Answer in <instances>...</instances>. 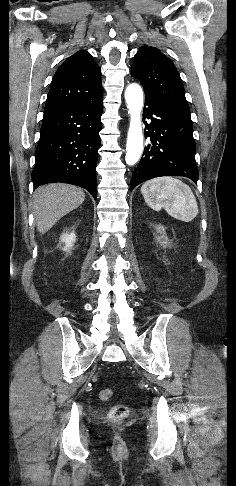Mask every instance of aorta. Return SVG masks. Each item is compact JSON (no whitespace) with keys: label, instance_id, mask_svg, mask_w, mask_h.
<instances>
[{"label":"aorta","instance_id":"aorta-1","mask_svg":"<svg viewBox=\"0 0 236 486\" xmlns=\"http://www.w3.org/2000/svg\"><path fill=\"white\" fill-rule=\"evenodd\" d=\"M125 100L128 107V114L130 115L125 161L126 164L132 166L138 162L143 150L141 123L143 92L141 87L136 83L130 84L125 91Z\"/></svg>","mask_w":236,"mask_h":486}]
</instances>
